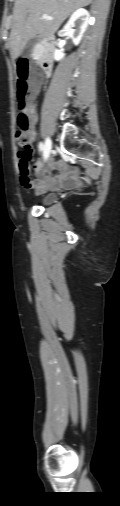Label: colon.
I'll use <instances>...</instances> for the list:
<instances>
[{"instance_id": "obj_1", "label": "colon", "mask_w": 120, "mask_h": 506, "mask_svg": "<svg viewBox=\"0 0 120 506\" xmlns=\"http://www.w3.org/2000/svg\"><path fill=\"white\" fill-rule=\"evenodd\" d=\"M18 62V80H17V97H18V125L20 130L16 133L15 141L19 146V169L22 174H28L29 164L32 157V118L29 111L26 95L29 90L27 79L32 74L35 79H38L37 72L29 67L30 57L26 56L17 57Z\"/></svg>"}]
</instances>
